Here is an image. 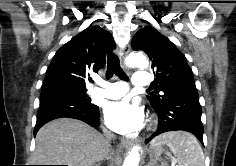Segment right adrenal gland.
I'll return each instance as SVG.
<instances>
[{"label": "right adrenal gland", "instance_id": "2a0ac1e0", "mask_svg": "<svg viewBox=\"0 0 236 166\" xmlns=\"http://www.w3.org/2000/svg\"><path fill=\"white\" fill-rule=\"evenodd\" d=\"M95 166H100V164H96Z\"/></svg>", "mask_w": 236, "mask_h": 166}]
</instances>
